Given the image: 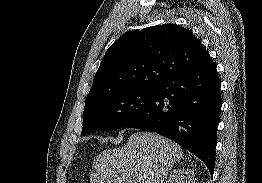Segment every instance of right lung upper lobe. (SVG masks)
Segmentation results:
<instances>
[{
  "label": "right lung upper lobe",
  "mask_w": 262,
  "mask_h": 183,
  "mask_svg": "<svg viewBox=\"0 0 262 183\" xmlns=\"http://www.w3.org/2000/svg\"><path fill=\"white\" fill-rule=\"evenodd\" d=\"M210 61L189 29L164 24L130 31L107 50L86 101L130 88H157Z\"/></svg>",
  "instance_id": "obj_1"
}]
</instances>
